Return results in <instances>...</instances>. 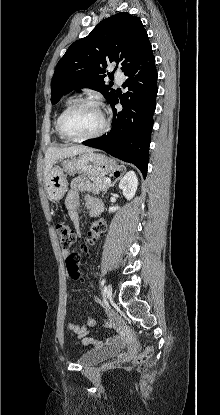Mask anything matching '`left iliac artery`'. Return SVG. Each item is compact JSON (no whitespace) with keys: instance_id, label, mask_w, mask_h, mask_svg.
<instances>
[{"instance_id":"obj_1","label":"left iliac artery","mask_w":220,"mask_h":415,"mask_svg":"<svg viewBox=\"0 0 220 415\" xmlns=\"http://www.w3.org/2000/svg\"><path fill=\"white\" fill-rule=\"evenodd\" d=\"M104 284H105V279L103 278V279L101 280V283H100V288H101V289L104 287Z\"/></svg>"}]
</instances>
